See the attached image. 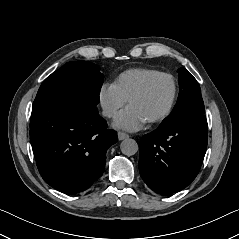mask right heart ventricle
<instances>
[{
    "instance_id": "right-heart-ventricle-1",
    "label": "right heart ventricle",
    "mask_w": 239,
    "mask_h": 239,
    "mask_svg": "<svg viewBox=\"0 0 239 239\" xmlns=\"http://www.w3.org/2000/svg\"><path fill=\"white\" fill-rule=\"evenodd\" d=\"M159 73L154 69L136 67L125 70L115 79L114 85L121 96L128 100L130 95L137 90L148 78Z\"/></svg>"
}]
</instances>
